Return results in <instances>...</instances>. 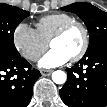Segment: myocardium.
I'll use <instances>...</instances> for the list:
<instances>
[{
    "mask_svg": "<svg viewBox=\"0 0 107 107\" xmlns=\"http://www.w3.org/2000/svg\"><path fill=\"white\" fill-rule=\"evenodd\" d=\"M74 26L80 27L84 34V42L81 49L69 59L72 62H77L84 57L90 45V32L87 25L84 22L75 19L65 23L53 34V36L49 40V46H51V43L53 41L63 37Z\"/></svg>",
    "mask_w": 107,
    "mask_h": 107,
    "instance_id": "f54148a6",
    "label": "myocardium"
}]
</instances>
